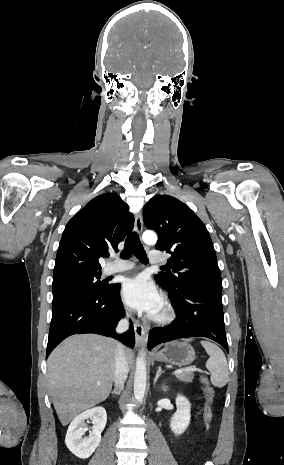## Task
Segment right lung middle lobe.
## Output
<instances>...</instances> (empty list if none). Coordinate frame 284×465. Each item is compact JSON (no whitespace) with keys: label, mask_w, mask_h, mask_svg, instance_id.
I'll use <instances>...</instances> for the list:
<instances>
[{"label":"right lung middle lobe","mask_w":284,"mask_h":465,"mask_svg":"<svg viewBox=\"0 0 284 465\" xmlns=\"http://www.w3.org/2000/svg\"><path fill=\"white\" fill-rule=\"evenodd\" d=\"M101 273L80 274L53 280V300L78 291H105L111 285L100 280Z\"/></svg>","instance_id":"dd1d6c3e"}]
</instances>
